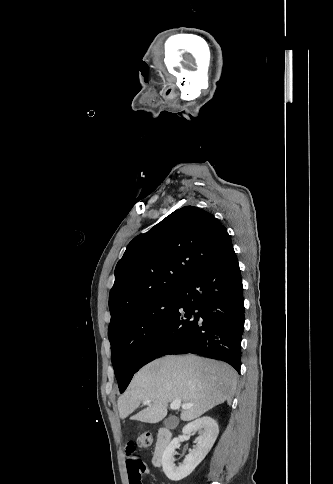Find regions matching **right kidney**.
Segmentation results:
<instances>
[{
  "label": "right kidney",
  "instance_id": "1",
  "mask_svg": "<svg viewBox=\"0 0 333 484\" xmlns=\"http://www.w3.org/2000/svg\"><path fill=\"white\" fill-rule=\"evenodd\" d=\"M198 432L199 437L194 449L185 457L179 466L174 464V452L179 446V439L174 438L166 447L162 456V467L165 475L172 481H180L190 475L202 462L212 448L218 434L217 422L211 417L199 418L183 428L184 434Z\"/></svg>",
  "mask_w": 333,
  "mask_h": 484
}]
</instances>
